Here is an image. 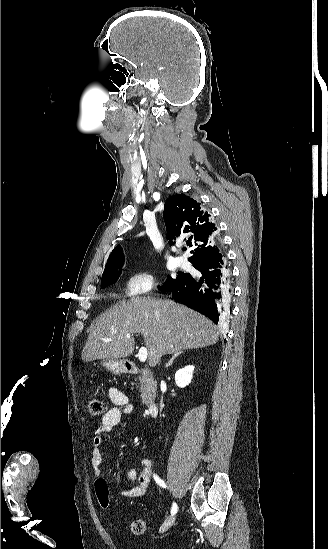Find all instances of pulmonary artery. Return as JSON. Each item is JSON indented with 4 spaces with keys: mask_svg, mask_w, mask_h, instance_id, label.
<instances>
[{
    "mask_svg": "<svg viewBox=\"0 0 328 549\" xmlns=\"http://www.w3.org/2000/svg\"><path fill=\"white\" fill-rule=\"evenodd\" d=\"M175 264L179 268H187L189 266V262L184 256H178L175 259Z\"/></svg>",
    "mask_w": 328,
    "mask_h": 549,
    "instance_id": "1",
    "label": "pulmonary artery"
}]
</instances>
